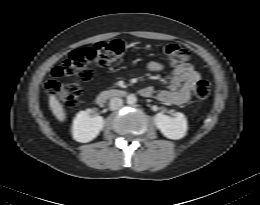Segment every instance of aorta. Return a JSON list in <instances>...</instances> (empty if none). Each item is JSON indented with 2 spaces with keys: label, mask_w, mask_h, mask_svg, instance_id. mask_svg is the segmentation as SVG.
<instances>
[{
  "label": "aorta",
  "mask_w": 260,
  "mask_h": 205,
  "mask_svg": "<svg viewBox=\"0 0 260 205\" xmlns=\"http://www.w3.org/2000/svg\"><path fill=\"white\" fill-rule=\"evenodd\" d=\"M137 102V98L134 94H130L127 96V104L133 105Z\"/></svg>",
  "instance_id": "aorta-1"
}]
</instances>
